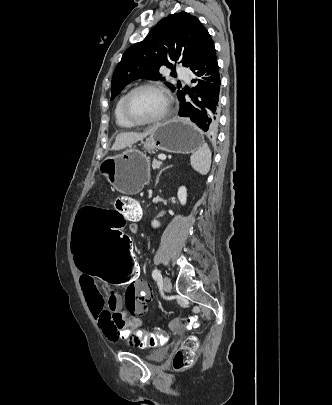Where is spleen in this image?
I'll return each mask as SVG.
<instances>
[{
	"mask_svg": "<svg viewBox=\"0 0 332 405\" xmlns=\"http://www.w3.org/2000/svg\"><path fill=\"white\" fill-rule=\"evenodd\" d=\"M190 164L192 168L201 175H206L211 166V151L204 143L191 157Z\"/></svg>",
	"mask_w": 332,
	"mask_h": 405,
	"instance_id": "obj_1",
	"label": "spleen"
}]
</instances>
